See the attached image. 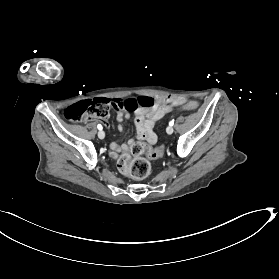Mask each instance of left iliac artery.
<instances>
[{"label": "left iliac artery", "instance_id": "obj_1", "mask_svg": "<svg viewBox=\"0 0 279 279\" xmlns=\"http://www.w3.org/2000/svg\"><path fill=\"white\" fill-rule=\"evenodd\" d=\"M169 125H170V126H173V125H174V120L170 121V122H169Z\"/></svg>", "mask_w": 279, "mask_h": 279}]
</instances>
